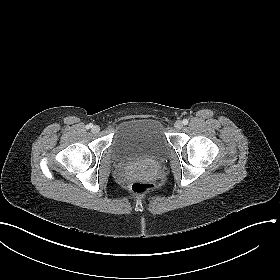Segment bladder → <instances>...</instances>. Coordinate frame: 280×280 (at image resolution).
<instances>
[{
  "instance_id": "31cf9c89",
  "label": "bladder",
  "mask_w": 280,
  "mask_h": 280,
  "mask_svg": "<svg viewBox=\"0 0 280 280\" xmlns=\"http://www.w3.org/2000/svg\"><path fill=\"white\" fill-rule=\"evenodd\" d=\"M168 142L164 127L155 118H134L122 121L113 136L111 149L119 161L140 158L159 159Z\"/></svg>"
}]
</instances>
